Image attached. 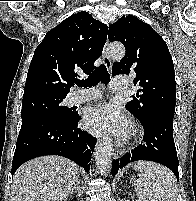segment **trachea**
Masks as SVG:
<instances>
[{
    "label": "trachea",
    "instance_id": "3493384b",
    "mask_svg": "<svg viewBox=\"0 0 196 201\" xmlns=\"http://www.w3.org/2000/svg\"><path fill=\"white\" fill-rule=\"evenodd\" d=\"M109 81L110 75L105 66L101 65L86 80H79L76 82V84L79 87L86 88L95 86L98 82L107 84Z\"/></svg>",
    "mask_w": 196,
    "mask_h": 201
}]
</instances>
